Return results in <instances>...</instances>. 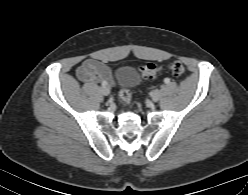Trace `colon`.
Masks as SVG:
<instances>
[{"label":"colon","mask_w":248,"mask_h":195,"mask_svg":"<svg viewBox=\"0 0 248 195\" xmlns=\"http://www.w3.org/2000/svg\"><path fill=\"white\" fill-rule=\"evenodd\" d=\"M168 71L173 76H182L185 72L184 64L179 60L168 62L165 66H158L148 63L141 67V74L143 78L152 80L159 76L163 71ZM118 98L124 105H129L132 100V93L128 88H122L118 93Z\"/></svg>","instance_id":"colon-1"}]
</instances>
